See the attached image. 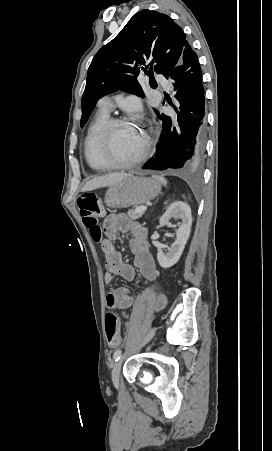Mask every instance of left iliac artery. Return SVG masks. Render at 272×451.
I'll list each match as a JSON object with an SVG mask.
<instances>
[{
	"mask_svg": "<svg viewBox=\"0 0 272 451\" xmlns=\"http://www.w3.org/2000/svg\"><path fill=\"white\" fill-rule=\"evenodd\" d=\"M121 354H122V352L120 350L115 351V353L113 355L115 362L121 358Z\"/></svg>",
	"mask_w": 272,
	"mask_h": 451,
	"instance_id": "44dca946",
	"label": "left iliac artery"
}]
</instances>
